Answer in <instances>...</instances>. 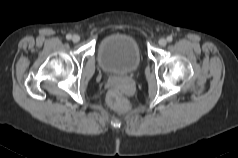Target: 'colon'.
Listing matches in <instances>:
<instances>
[{
	"mask_svg": "<svg viewBox=\"0 0 238 158\" xmlns=\"http://www.w3.org/2000/svg\"><path fill=\"white\" fill-rule=\"evenodd\" d=\"M107 100L108 103L118 111H123L128 106L126 99L117 89H112L109 92Z\"/></svg>",
	"mask_w": 238,
	"mask_h": 158,
	"instance_id": "obj_1",
	"label": "colon"
}]
</instances>
